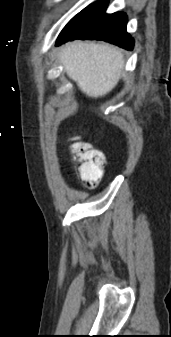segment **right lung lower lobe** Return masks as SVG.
<instances>
[{"mask_svg": "<svg viewBox=\"0 0 171 337\" xmlns=\"http://www.w3.org/2000/svg\"><path fill=\"white\" fill-rule=\"evenodd\" d=\"M107 4L108 0H100L73 17L61 31L56 45L74 39H95L132 50L134 41L126 32L127 16L122 12L105 14Z\"/></svg>", "mask_w": 171, "mask_h": 337, "instance_id": "obj_1", "label": "right lung lower lobe"}]
</instances>
